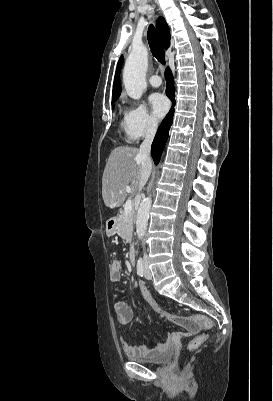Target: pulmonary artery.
<instances>
[{"label":"pulmonary artery","instance_id":"1","mask_svg":"<svg viewBox=\"0 0 273 401\" xmlns=\"http://www.w3.org/2000/svg\"><path fill=\"white\" fill-rule=\"evenodd\" d=\"M160 80H161V77H160L159 74H152L150 76V83H149L150 88L151 89H158L159 86H160V83H159Z\"/></svg>","mask_w":273,"mask_h":401}]
</instances>
